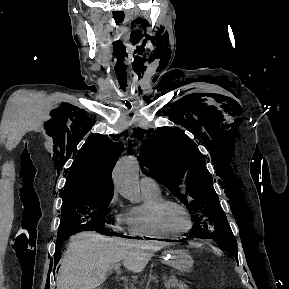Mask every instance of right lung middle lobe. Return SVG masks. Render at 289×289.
I'll use <instances>...</instances> for the list:
<instances>
[{"label": "right lung middle lobe", "mask_w": 289, "mask_h": 289, "mask_svg": "<svg viewBox=\"0 0 289 289\" xmlns=\"http://www.w3.org/2000/svg\"><path fill=\"white\" fill-rule=\"evenodd\" d=\"M113 193L77 195L63 198L61 222L57 239H67L78 231L93 230L110 234L103 229L105 213Z\"/></svg>", "instance_id": "dd1d6c3e"}]
</instances>
